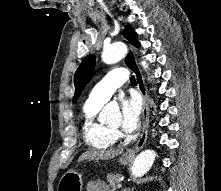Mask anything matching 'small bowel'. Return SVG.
<instances>
[{
    "instance_id": "1",
    "label": "small bowel",
    "mask_w": 221,
    "mask_h": 191,
    "mask_svg": "<svg viewBox=\"0 0 221 191\" xmlns=\"http://www.w3.org/2000/svg\"><path fill=\"white\" fill-rule=\"evenodd\" d=\"M87 191H113L102 180H89L86 187Z\"/></svg>"
}]
</instances>
